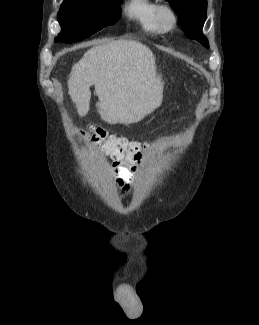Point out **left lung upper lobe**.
Listing matches in <instances>:
<instances>
[{
	"label": "left lung upper lobe",
	"mask_w": 259,
	"mask_h": 325,
	"mask_svg": "<svg viewBox=\"0 0 259 325\" xmlns=\"http://www.w3.org/2000/svg\"><path fill=\"white\" fill-rule=\"evenodd\" d=\"M181 21V28L190 39H195L209 47L207 38L202 33L206 20V0H167Z\"/></svg>",
	"instance_id": "left-lung-upper-lobe-1"
}]
</instances>
